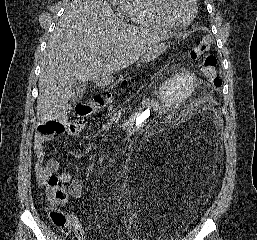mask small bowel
<instances>
[{
    "instance_id": "obj_1",
    "label": "small bowel",
    "mask_w": 257,
    "mask_h": 240,
    "mask_svg": "<svg viewBox=\"0 0 257 240\" xmlns=\"http://www.w3.org/2000/svg\"><path fill=\"white\" fill-rule=\"evenodd\" d=\"M79 132V127L75 124H68L65 126V129L60 132V134H67L70 136H76ZM54 138V134L52 135H44L38 133L35 137L34 143V150L36 153V173L38 177V181L41 184L46 182V179L50 175H54L57 173L60 163L56 158H50L46 162V165H43L46 159V154L44 150V144L47 141H51ZM57 177L61 182L69 183L68 193L69 195L77 199L80 197L82 188H83V181L76 177L73 173L69 172H62L58 173ZM69 230H71L76 237L77 240H87L85 232L81 228L79 222L74 217H69Z\"/></svg>"
}]
</instances>
